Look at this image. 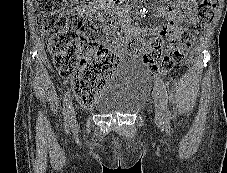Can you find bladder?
Listing matches in <instances>:
<instances>
[{"label": "bladder", "mask_w": 227, "mask_h": 173, "mask_svg": "<svg viewBox=\"0 0 227 173\" xmlns=\"http://www.w3.org/2000/svg\"><path fill=\"white\" fill-rule=\"evenodd\" d=\"M151 77L136 59L122 61L112 72L97 96L94 107L102 113H131L146 101Z\"/></svg>", "instance_id": "31cf9c89"}]
</instances>
